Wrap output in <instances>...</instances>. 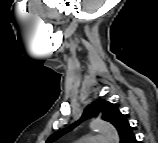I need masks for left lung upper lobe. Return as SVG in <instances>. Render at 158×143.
Instances as JSON below:
<instances>
[{
  "label": "left lung upper lobe",
  "instance_id": "left-lung-upper-lobe-1",
  "mask_svg": "<svg viewBox=\"0 0 158 143\" xmlns=\"http://www.w3.org/2000/svg\"><path fill=\"white\" fill-rule=\"evenodd\" d=\"M99 112H102V117L105 121L110 122L117 129L120 143H124L128 137L133 135L132 127L129 125L126 115L122 114L115 104L99 99L86 107L80 120L52 134L48 138L47 143H51L63 134L71 131L82 121L98 115Z\"/></svg>",
  "mask_w": 158,
  "mask_h": 143
}]
</instances>
